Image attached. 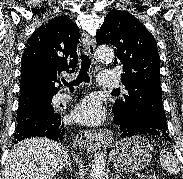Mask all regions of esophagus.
<instances>
[{
  "mask_svg": "<svg viewBox=\"0 0 183 179\" xmlns=\"http://www.w3.org/2000/svg\"><path fill=\"white\" fill-rule=\"evenodd\" d=\"M82 44L85 52L90 56L92 62H98L95 44L92 37L87 34H82ZM112 134L107 130L85 131L81 130L77 135L78 144L86 150H96L101 145H108L112 141Z\"/></svg>",
  "mask_w": 183,
  "mask_h": 179,
  "instance_id": "obj_1",
  "label": "esophagus"
}]
</instances>
